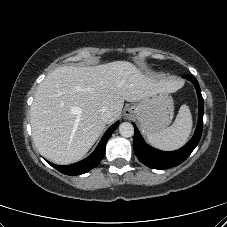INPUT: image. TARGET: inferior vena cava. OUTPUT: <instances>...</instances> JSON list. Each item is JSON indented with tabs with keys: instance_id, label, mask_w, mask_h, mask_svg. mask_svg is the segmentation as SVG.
Instances as JSON below:
<instances>
[{
	"instance_id": "1",
	"label": "inferior vena cava",
	"mask_w": 227,
	"mask_h": 227,
	"mask_svg": "<svg viewBox=\"0 0 227 227\" xmlns=\"http://www.w3.org/2000/svg\"><path fill=\"white\" fill-rule=\"evenodd\" d=\"M100 115H101L102 120L107 122L111 118L112 113L108 107L104 106L100 110Z\"/></svg>"
}]
</instances>
